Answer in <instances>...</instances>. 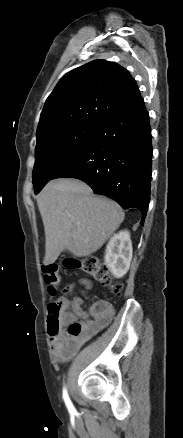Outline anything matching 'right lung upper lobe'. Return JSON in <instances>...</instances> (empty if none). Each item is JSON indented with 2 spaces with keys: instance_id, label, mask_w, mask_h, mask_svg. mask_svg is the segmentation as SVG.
Here are the masks:
<instances>
[{
  "instance_id": "right-lung-upper-lobe-1",
  "label": "right lung upper lobe",
  "mask_w": 183,
  "mask_h": 438,
  "mask_svg": "<svg viewBox=\"0 0 183 438\" xmlns=\"http://www.w3.org/2000/svg\"><path fill=\"white\" fill-rule=\"evenodd\" d=\"M142 101L139 88L126 69L109 61H92L58 82L42 110L37 138L56 129L97 126Z\"/></svg>"
}]
</instances>
